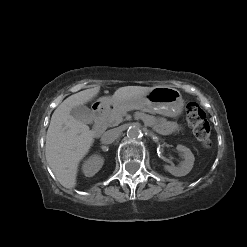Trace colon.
<instances>
[{
    "label": "colon",
    "instance_id": "obj_1",
    "mask_svg": "<svg viewBox=\"0 0 247 247\" xmlns=\"http://www.w3.org/2000/svg\"><path fill=\"white\" fill-rule=\"evenodd\" d=\"M186 119L194 136L205 148L211 146V129L204 110L197 103H189L186 107Z\"/></svg>",
    "mask_w": 247,
    "mask_h": 247
}]
</instances>
